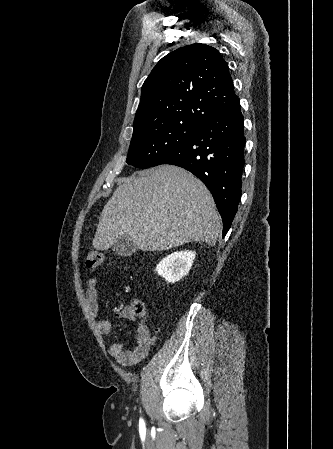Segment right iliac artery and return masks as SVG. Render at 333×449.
<instances>
[{"mask_svg":"<svg viewBox=\"0 0 333 449\" xmlns=\"http://www.w3.org/2000/svg\"><path fill=\"white\" fill-rule=\"evenodd\" d=\"M140 425H143V420L142 419H140Z\"/></svg>","mask_w":333,"mask_h":449,"instance_id":"right-iliac-artery-1","label":"right iliac artery"}]
</instances>
